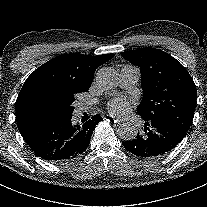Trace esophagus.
Here are the masks:
<instances>
[{"label": "esophagus", "instance_id": "34e87169", "mask_svg": "<svg viewBox=\"0 0 207 207\" xmlns=\"http://www.w3.org/2000/svg\"><path fill=\"white\" fill-rule=\"evenodd\" d=\"M104 119L111 121V122H117L116 117L109 115V114L104 115Z\"/></svg>", "mask_w": 207, "mask_h": 207}]
</instances>
